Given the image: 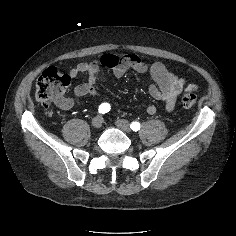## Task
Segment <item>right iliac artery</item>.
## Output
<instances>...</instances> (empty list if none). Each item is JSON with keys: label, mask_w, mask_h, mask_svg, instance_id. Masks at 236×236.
<instances>
[{"label": "right iliac artery", "mask_w": 236, "mask_h": 236, "mask_svg": "<svg viewBox=\"0 0 236 236\" xmlns=\"http://www.w3.org/2000/svg\"><path fill=\"white\" fill-rule=\"evenodd\" d=\"M110 105L108 103H102L100 106H99V113L101 114H105L107 112L110 111Z\"/></svg>", "instance_id": "82829eb1"}]
</instances>
